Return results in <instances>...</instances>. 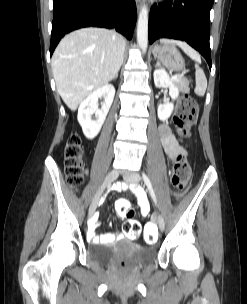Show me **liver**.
I'll return each instance as SVG.
<instances>
[{"instance_id": "liver-1", "label": "liver", "mask_w": 247, "mask_h": 304, "mask_svg": "<svg viewBox=\"0 0 247 304\" xmlns=\"http://www.w3.org/2000/svg\"><path fill=\"white\" fill-rule=\"evenodd\" d=\"M195 52L186 43L162 40ZM124 40L113 30L88 27L66 35L52 57L56 88L71 111L94 90L118 74L123 61Z\"/></svg>"}]
</instances>
